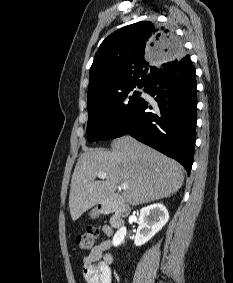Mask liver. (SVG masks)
Instances as JSON below:
<instances>
[{
    "instance_id": "obj_1",
    "label": "liver",
    "mask_w": 233,
    "mask_h": 283,
    "mask_svg": "<svg viewBox=\"0 0 233 283\" xmlns=\"http://www.w3.org/2000/svg\"><path fill=\"white\" fill-rule=\"evenodd\" d=\"M98 173H106L95 181ZM184 182L183 167L175 160L130 136L111 143V151L88 149L79 157L72 174L69 208L73 221L98 203L108 200L120 183L123 199L132 206L166 198Z\"/></svg>"
}]
</instances>
